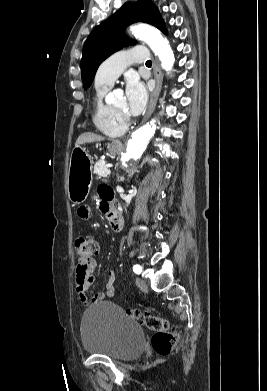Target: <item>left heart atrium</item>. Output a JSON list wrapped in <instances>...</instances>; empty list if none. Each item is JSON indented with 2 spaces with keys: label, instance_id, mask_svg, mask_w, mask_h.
Returning a JSON list of instances; mask_svg holds the SVG:
<instances>
[{
  "label": "left heart atrium",
  "instance_id": "left-heart-atrium-1",
  "mask_svg": "<svg viewBox=\"0 0 267 391\" xmlns=\"http://www.w3.org/2000/svg\"><path fill=\"white\" fill-rule=\"evenodd\" d=\"M126 110L130 115L140 114L147 102V90L136 77H130L126 84Z\"/></svg>",
  "mask_w": 267,
  "mask_h": 391
}]
</instances>
